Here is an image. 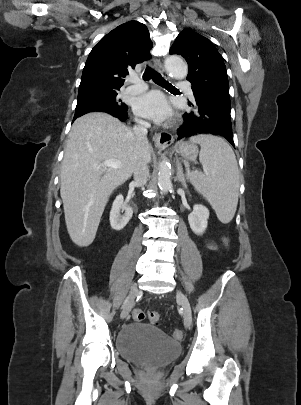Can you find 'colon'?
Wrapping results in <instances>:
<instances>
[{
  "label": "colon",
  "instance_id": "5ec220e1",
  "mask_svg": "<svg viewBox=\"0 0 301 405\" xmlns=\"http://www.w3.org/2000/svg\"><path fill=\"white\" fill-rule=\"evenodd\" d=\"M224 244L227 246L228 245V240L226 238L223 239ZM132 317L135 321H143L146 317V314L143 310L141 309H135L132 313ZM160 314L157 311H151L148 313V319L151 323L157 325L160 322ZM172 336L175 339H181L183 337V332L180 329H175L172 332Z\"/></svg>",
  "mask_w": 301,
  "mask_h": 405
}]
</instances>
